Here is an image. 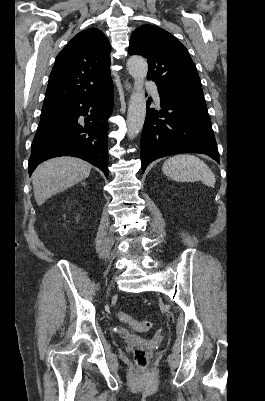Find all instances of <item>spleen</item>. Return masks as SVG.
I'll list each match as a JSON object with an SVG mask.
<instances>
[{
	"label": "spleen",
	"instance_id": "1",
	"mask_svg": "<svg viewBox=\"0 0 265 401\" xmlns=\"http://www.w3.org/2000/svg\"><path fill=\"white\" fill-rule=\"evenodd\" d=\"M162 170L166 176L177 182H195L202 180L206 186H213L216 182L211 168L194 154H176L165 160Z\"/></svg>",
	"mask_w": 265,
	"mask_h": 401
}]
</instances>
